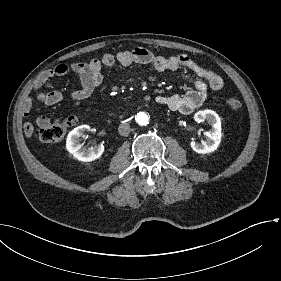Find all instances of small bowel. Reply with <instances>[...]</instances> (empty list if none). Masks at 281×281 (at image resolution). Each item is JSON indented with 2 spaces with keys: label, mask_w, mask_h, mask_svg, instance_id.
Wrapping results in <instances>:
<instances>
[{
  "label": "small bowel",
  "mask_w": 281,
  "mask_h": 281,
  "mask_svg": "<svg viewBox=\"0 0 281 281\" xmlns=\"http://www.w3.org/2000/svg\"><path fill=\"white\" fill-rule=\"evenodd\" d=\"M116 64L129 66L141 64L150 66L157 72L175 71L181 68L192 71L196 77L190 79L193 88L184 94H158L154 97L155 103L164 106L173 112L190 114L206 100L209 90L218 91L224 85L223 78L216 72L204 66L198 65L185 54L165 57L156 55L144 48H136L130 51H120L114 54H104L101 58H95L88 62H75L70 67L60 64L54 69L43 72L36 80L34 93L36 99L46 105H54L61 102L64 95L61 91H41V88L55 76H64L69 70L78 74L81 80V88L70 93L73 100L88 98L93 91L102 83L104 68H113ZM32 108V98L28 97L25 102L23 115L29 116ZM36 121L40 125L47 124L43 113L36 115ZM33 124L24 123L25 137L32 138Z\"/></svg>",
  "instance_id": "obj_1"
}]
</instances>
